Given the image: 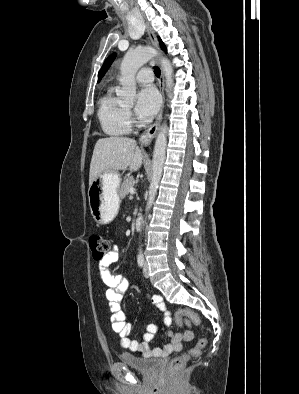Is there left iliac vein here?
<instances>
[{
    "instance_id": "1",
    "label": "left iliac vein",
    "mask_w": 299,
    "mask_h": 394,
    "mask_svg": "<svg viewBox=\"0 0 299 394\" xmlns=\"http://www.w3.org/2000/svg\"><path fill=\"white\" fill-rule=\"evenodd\" d=\"M143 275H144V277H146V278L149 277V268H148L147 262L144 263Z\"/></svg>"
}]
</instances>
